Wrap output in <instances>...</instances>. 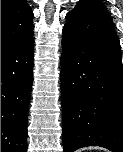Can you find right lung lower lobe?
<instances>
[{
    "label": "right lung lower lobe",
    "instance_id": "98d812e1",
    "mask_svg": "<svg viewBox=\"0 0 123 152\" xmlns=\"http://www.w3.org/2000/svg\"><path fill=\"white\" fill-rule=\"evenodd\" d=\"M33 36L1 45V152H27Z\"/></svg>",
    "mask_w": 123,
    "mask_h": 152
}]
</instances>
